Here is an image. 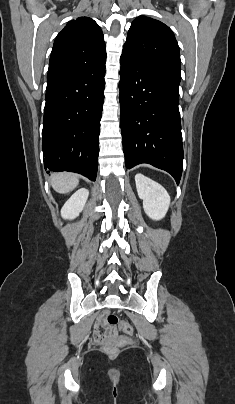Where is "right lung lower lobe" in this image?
<instances>
[{
  "mask_svg": "<svg viewBox=\"0 0 235 404\" xmlns=\"http://www.w3.org/2000/svg\"><path fill=\"white\" fill-rule=\"evenodd\" d=\"M105 62L47 74L42 138L47 173L96 179Z\"/></svg>",
  "mask_w": 235,
  "mask_h": 404,
  "instance_id": "98d812e1",
  "label": "right lung lower lobe"
}]
</instances>
